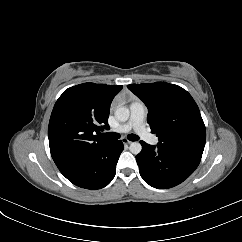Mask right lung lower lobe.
Masks as SVG:
<instances>
[{
	"label": "right lung lower lobe",
	"mask_w": 242,
	"mask_h": 242,
	"mask_svg": "<svg viewBox=\"0 0 242 242\" xmlns=\"http://www.w3.org/2000/svg\"><path fill=\"white\" fill-rule=\"evenodd\" d=\"M123 149L122 141H110L90 150L60 171L79 187L92 190L103 188L114 178Z\"/></svg>",
	"instance_id": "right-lung-lower-lobe-1"
}]
</instances>
